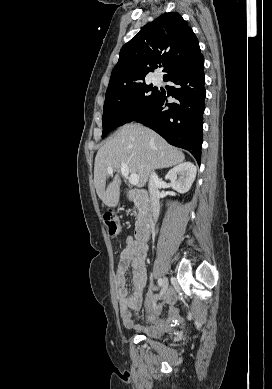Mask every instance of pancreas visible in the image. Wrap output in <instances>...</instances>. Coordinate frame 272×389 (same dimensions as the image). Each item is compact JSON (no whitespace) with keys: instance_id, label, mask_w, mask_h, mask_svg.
<instances>
[{"instance_id":"pancreas-1","label":"pancreas","mask_w":272,"mask_h":389,"mask_svg":"<svg viewBox=\"0 0 272 389\" xmlns=\"http://www.w3.org/2000/svg\"><path fill=\"white\" fill-rule=\"evenodd\" d=\"M135 208H137L139 210L138 214H136V215L138 218H140L143 214V206H141L139 203L136 202Z\"/></svg>"}]
</instances>
